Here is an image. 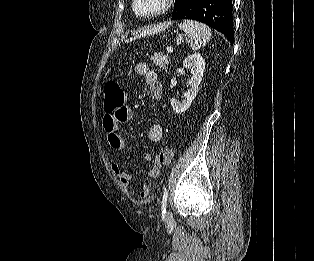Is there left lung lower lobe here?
I'll return each mask as SVG.
<instances>
[{"label":"left lung lower lobe","mask_w":314,"mask_h":261,"mask_svg":"<svg viewBox=\"0 0 314 261\" xmlns=\"http://www.w3.org/2000/svg\"><path fill=\"white\" fill-rule=\"evenodd\" d=\"M179 19L206 23L233 43L232 0H184L172 17Z\"/></svg>","instance_id":"left-lung-lower-lobe-1"}]
</instances>
